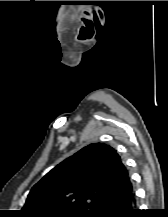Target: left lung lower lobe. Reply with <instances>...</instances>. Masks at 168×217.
I'll list each match as a JSON object with an SVG mask.
<instances>
[{
    "mask_svg": "<svg viewBox=\"0 0 168 217\" xmlns=\"http://www.w3.org/2000/svg\"><path fill=\"white\" fill-rule=\"evenodd\" d=\"M136 199L131 181L110 196L96 217H138Z\"/></svg>",
    "mask_w": 168,
    "mask_h": 217,
    "instance_id": "left-lung-lower-lobe-1",
    "label": "left lung lower lobe"
}]
</instances>
